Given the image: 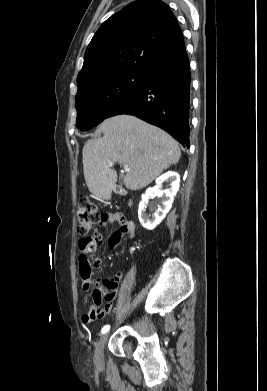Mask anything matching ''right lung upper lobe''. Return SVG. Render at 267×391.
<instances>
[{
    "mask_svg": "<svg viewBox=\"0 0 267 391\" xmlns=\"http://www.w3.org/2000/svg\"><path fill=\"white\" fill-rule=\"evenodd\" d=\"M185 50L178 21L160 0H138L107 19L89 43L77 77L78 90L109 73H145Z\"/></svg>",
    "mask_w": 267,
    "mask_h": 391,
    "instance_id": "cb5924a9",
    "label": "right lung upper lobe"
}]
</instances>
